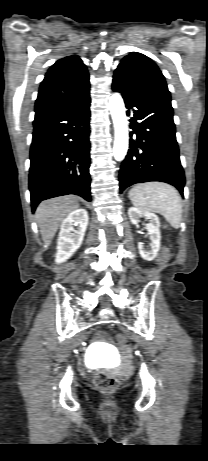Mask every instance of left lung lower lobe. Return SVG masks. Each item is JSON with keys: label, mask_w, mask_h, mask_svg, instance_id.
<instances>
[{"label": "left lung lower lobe", "mask_w": 208, "mask_h": 461, "mask_svg": "<svg viewBox=\"0 0 208 461\" xmlns=\"http://www.w3.org/2000/svg\"><path fill=\"white\" fill-rule=\"evenodd\" d=\"M112 89L121 93L131 116L130 149L122 161L120 192L130 185L161 181L175 186L181 195L185 175L175 136L171 99L131 87L114 76Z\"/></svg>", "instance_id": "0a47b994"}]
</instances>
